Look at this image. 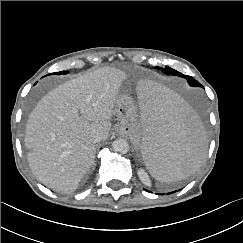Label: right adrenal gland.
<instances>
[{"mask_svg": "<svg viewBox=\"0 0 243 243\" xmlns=\"http://www.w3.org/2000/svg\"><path fill=\"white\" fill-rule=\"evenodd\" d=\"M94 169H95V164H94V166H93V168H92V170H91V173H92V171H94Z\"/></svg>", "mask_w": 243, "mask_h": 243, "instance_id": "1", "label": "right adrenal gland"}]
</instances>
